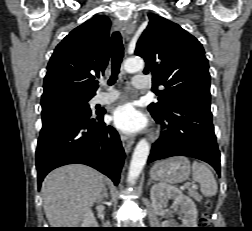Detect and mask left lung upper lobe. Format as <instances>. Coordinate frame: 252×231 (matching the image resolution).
Wrapping results in <instances>:
<instances>
[{
	"label": "left lung upper lobe",
	"instance_id": "1",
	"mask_svg": "<svg viewBox=\"0 0 252 231\" xmlns=\"http://www.w3.org/2000/svg\"><path fill=\"white\" fill-rule=\"evenodd\" d=\"M138 40L135 54L144 58V73L165 87L159 102L149 105L160 114L173 98L195 94L210 99L208 60L201 43L179 25L155 14Z\"/></svg>",
	"mask_w": 252,
	"mask_h": 231
}]
</instances>
